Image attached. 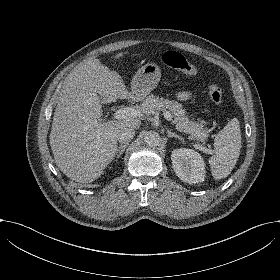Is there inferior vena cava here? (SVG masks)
<instances>
[{"instance_id":"inferior-vena-cava-1","label":"inferior vena cava","mask_w":280,"mask_h":280,"mask_svg":"<svg viewBox=\"0 0 280 280\" xmlns=\"http://www.w3.org/2000/svg\"><path fill=\"white\" fill-rule=\"evenodd\" d=\"M134 135H135L134 128L124 127L117 131V140L120 143L128 144L129 142L132 141Z\"/></svg>"}]
</instances>
